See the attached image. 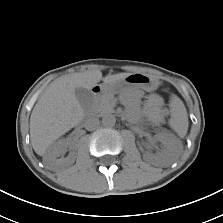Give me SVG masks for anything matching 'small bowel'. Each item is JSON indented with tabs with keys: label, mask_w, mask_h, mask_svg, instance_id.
<instances>
[{
	"label": "small bowel",
	"mask_w": 223,
	"mask_h": 223,
	"mask_svg": "<svg viewBox=\"0 0 223 223\" xmlns=\"http://www.w3.org/2000/svg\"><path fill=\"white\" fill-rule=\"evenodd\" d=\"M161 105H162V102L160 98H158L157 96L150 95L147 98V106L149 108V113L151 115H156L159 112Z\"/></svg>",
	"instance_id": "c3829d8e"
}]
</instances>
